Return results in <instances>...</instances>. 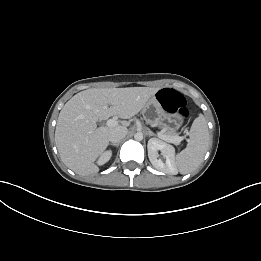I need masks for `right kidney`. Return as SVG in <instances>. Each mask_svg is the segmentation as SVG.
<instances>
[{
    "mask_svg": "<svg viewBox=\"0 0 261 261\" xmlns=\"http://www.w3.org/2000/svg\"><path fill=\"white\" fill-rule=\"evenodd\" d=\"M111 156H112L111 151L104 152L98 159V164L103 165V164L107 163L110 160Z\"/></svg>",
    "mask_w": 261,
    "mask_h": 261,
    "instance_id": "ca27d5eb",
    "label": "right kidney"
}]
</instances>
